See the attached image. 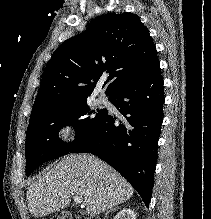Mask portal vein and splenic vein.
I'll return each instance as SVG.
<instances>
[{
	"mask_svg": "<svg viewBox=\"0 0 211 219\" xmlns=\"http://www.w3.org/2000/svg\"><path fill=\"white\" fill-rule=\"evenodd\" d=\"M73 199L76 203H79V204H81L83 202L82 199L79 198L78 196H74Z\"/></svg>",
	"mask_w": 211,
	"mask_h": 219,
	"instance_id": "1",
	"label": "portal vein and splenic vein"
}]
</instances>
